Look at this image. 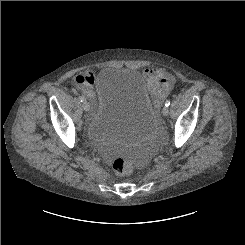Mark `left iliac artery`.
I'll return each mask as SVG.
<instances>
[{"instance_id": "44dca946", "label": "left iliac artery", "mask_w": 245, "mask_h": 245, "mask_svg": "<svg viewBox=\"0 0 245 245\" xmlns=\"http://www.w3.org/2000/svg\"><path fill=\"white\" fill-rule=\"evenodd\" d=\"M169 105H170V101L169 100H166L165 106L168 107Z\"/></svg>"}]
</instances>
